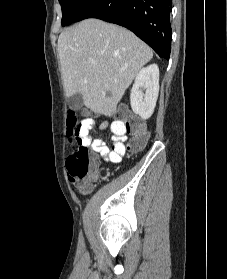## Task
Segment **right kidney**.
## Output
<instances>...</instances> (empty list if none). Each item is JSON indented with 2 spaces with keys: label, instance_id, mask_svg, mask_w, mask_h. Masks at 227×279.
<instances>
[{
  "label": "right kidney",
  "instance_id": "1",
  "mask_svg": "<svg viewBox=\"0 0 227 279\" xmlns=\"http://www.w3.org/2000/svg\"><path fill=\"white\" fill-rule=\"evenodd\" d=\"M145 89V93L143 90ZM159 92V68L152 64L137 73L133 84L130 103L133 112L146 120L153 114Z\"/></svg>",
  "mask_w": 227,
  "mask_h": 279
}]
</instances>
